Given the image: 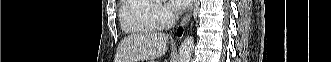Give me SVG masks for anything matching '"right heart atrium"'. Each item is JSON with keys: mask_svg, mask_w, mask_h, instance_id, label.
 Listing matches in <instances>:
<instances>
[{"mask_svg": "<svg viewBox=\"0 0 331 62\" xmlns=\"http://www.w3.org/2000/svg\"><path fill=\"white\" fill-rule=\"evenodd\" d=\"M150 3L154 6L151 19L156 27H165L175 19V13L168 5L158 1Z\"/></svg>", "mask_w": 331, "mask_h": 62, "instance_id": "right-heart-atrium-1", "label": "right heart atrium"}]
</instances>
